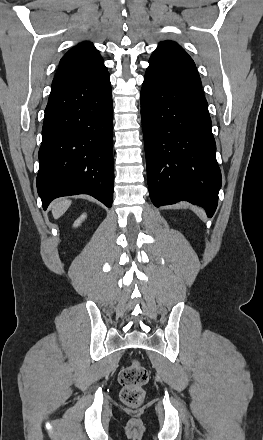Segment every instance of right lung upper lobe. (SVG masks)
Segmentation results:
<instances>
[{
  "label": "right lung upper lobe",
  "instance_id": "obj_1",
  "mask_svg": "<svg viewBox=\"0 0 263 440\" xmlns=\"http://www.w3.org/2000/svg\"><path fill=\"white\" fill-rule=\"evenodd\" d=\"M107 71L98 50L90 42L70 49L60 60L51 92L82 82Z\"/></svg>",
  "mask_w": 263,
  "mask_h": 440
}]
</instances>
